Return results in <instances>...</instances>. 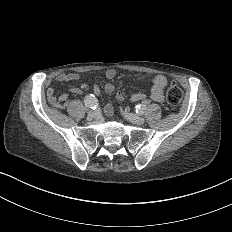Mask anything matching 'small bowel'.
<instances>
[{"label":"small bowel","instance_id":"1","mask_svg":"<svg viewBox=\"0 0 232 232\" xmlns=\"http://www.w3.org/2000/svg\"><path fill=\"white\" fill-rule=\"evenodd\" d=\"M119 72L120 71L115 70V69H106L102 72V76L106 80H112L113 78H115L118 75ZM78 78H79V75L75 72L60 73L56 76V80L58 82L73 81V80H77ZM149 79L153 83V87L150 90V96H151L152 100H154L156 102H163L164 101L163 87L167 83V78L163 74L154 73V74L150 75ZM64 91L72 92V93H80L81 89L79 87H68V88H65ZM55 92H56V89L54 87L47 88V93L49 95H52ZM94 92L96 95H100L101 90H100V87L98 85L94 86ZM124 97H125V93L123 91H120L117 93V98L119 100H123ZM143 98H144V93L140 92V91L134 92L131 95V99L133 101H138V100H141ZM104 110L108 114H111L113 112V105L111 103H106L104 105Z\"/></svg>","mask_w":232,"mask_h":232}]
</instances>
